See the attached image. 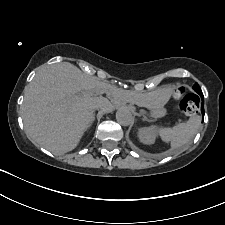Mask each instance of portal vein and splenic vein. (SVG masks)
Wrapping results in <instances>:
<instances>
[{"label": "portal vein and splenic vein", "mask_w": 225, "mask_h": 225, "mask_svg": "<svg viewBox=\"0 0 225 225\" xmlns=\"http://www.w3.org/2000/svg\"><path fill=\"white\" fill-rule=\"evenodd\" d=\"M81 94L85 95L86 93L85 92H82ZM71 98L72 97H78L77 95H74V96H70Z\"/></svg>", "instance_id": "18ae733b"}]
</instances>
